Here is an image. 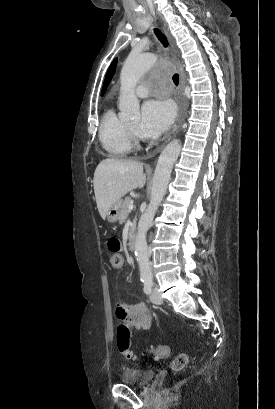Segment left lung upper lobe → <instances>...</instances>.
Returning <instances> with one entry per match:
<instances>
[{
  "instance_id": "left-lung-upper-lobe-1",
  "label": "left lung upper lobe",
  "mask_w": 275,
  "mask_h": 409,
  "mask_svg": "<svg viewBox=\"0 0 275 409\" xmlns=\"http://www.w3.org/2000/svg\"><path fill=\"white\" fill-rule=\"evenodd\" d=\"M116 64H117V58H115L113 60V62L111 63V65H110V67H109V69L107 71V74H106V77H105V80H104V83H103L101 95H103L105 93V91L107 89V86L109 85L113 75L115 74Z\"/></svg>"
}]
</instances>
